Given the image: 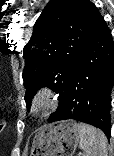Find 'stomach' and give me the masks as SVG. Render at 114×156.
Returning <instances> with one entry per match:
<instances>
[{"mask_svg":"<svg viewBox=\"0 0 114 156\" xmlns=\"http://www.w3.org/2000/svg\"><path fill=\"white\" fill-rule=\"evenodd\" d=\"M77 124L68 120L40 129L33 139L30 156H73L80 139Z\"/></svg>","mask_w":114,"mask_h":156,"instance_id":"obj_1","label":"stomach"}]
</instances>
